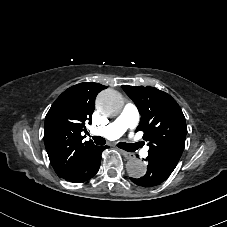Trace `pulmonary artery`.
<instances>
[{
	"mask_svg": "<svg viewBox=\"0 0 227 227\" xmlns=\"http://www.w3.org/2000/svg\"><path fill=\"white\" fill-rule=\"evenodd\" d=\"M139 117L137 107L134 104H127L114 122L96 128L94 134L98 138L109 136L112 139H117L134 127L139 121Z\"/></svg>",
	"mask_w": 227,
	"mask_h": 227,
	"instance_id": "pulmonary-artery-1",
	"label": "pulmonary artery"
}]
</instances>
